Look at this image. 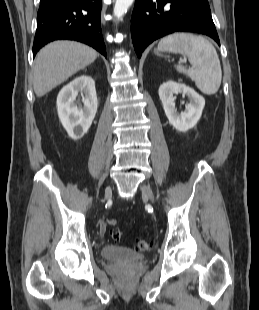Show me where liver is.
<instances>
[{"instance_id": "1", "label": "liver", "mask_w": 259, "mask_h": 310, "mask_svg": "<svg viewBox=\"0 0 259 310\" xmlns=\"http://www.w3.org/2000/svg\"><path fill=\"white\" fill-rule=\"evenodd\" d=\"M98 53L74 41H55L42 48L36 56L33 87L42 97L69 77L93 63Z\"/></svg>"}]
</instances>
